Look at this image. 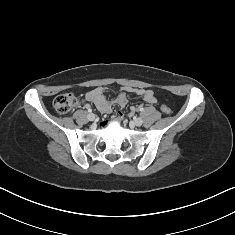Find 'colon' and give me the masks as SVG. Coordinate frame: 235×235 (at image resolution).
Returning a JSON list of instances; mask_svg holds the SVG:
<instances>
[{
	"label": "colon",
	"mask_w": 235,
	"mask_h": 235,
	"mask_svg": "<svg viewBox=\"0 0 235 235\" xmlns=\"http://www.w3.org/2000/svg\"><path fill=\"white\" fill-rule=\"evenodd\" d=\"M76 104H77L76 98L70 93L60 94L56 96L53 101V106L55 110L61 115L68 114L70 111L74 109ZM161 110L165 114L171 113L170 107L165 104L161 106Z\"/></svg>",
	"instance_id": "1"
}]
</instances>
